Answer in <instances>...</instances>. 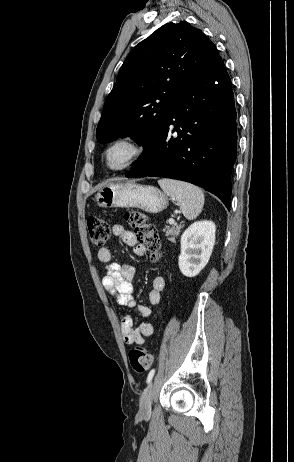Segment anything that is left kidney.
<instances>
[{
    "label": "left kidney",
    "mask_w": 294,
    "mask_h": 462,
    "mask_svg": "<svg viewBox=\"0 0 294 462\" xmlns=\"http://www.w3.org/2000/svg\"><path fill=\"white\" fill-rule=\"evenodd\" d=\"M216 226L212 221H197L181 236L178 265L186 277H195L206 266L215 244Z\"/></svg>",
    "instance_id": "5707ae66"
}]
</instances>
